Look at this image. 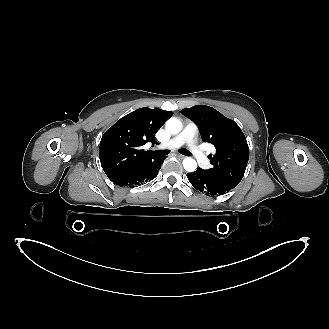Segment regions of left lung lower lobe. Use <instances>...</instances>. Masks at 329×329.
Returning <instances> with one entry per match:
<instances>
[{"instance_id": "0a47b994", "label": "left lung lower lobe", "mask_w": 329, "mask_h": 329, "mask_svg": "<svg viewBox=\"0 0 329 329\" xmlns=\"http://www.w3.org/2000/svg\"><path fill=\"white\" fill-rule=\"evenodd\" d=\"M187 178L195 189L207 196L221 195L235 188L231 184L211 176L201 168H197L193 173H187Z\"/></svg>"}]
</instances>
